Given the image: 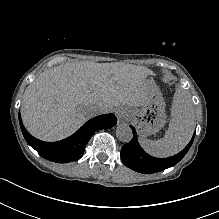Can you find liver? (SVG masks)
Listing matches in <instances>:
<instances>
[{
    "instance_id": "1",
    "label": "liver",
    "mask_w": 219,
    "mask_h": 219,
    "mask_svg": "<svg viewBox=\"0 0 219 219\" xmlns=\"http://www.w3.org/2000/svg\"><path fill=\"white\" fill-rule=\"evenodd\" d=\"M148 75L153 72L124 63L72 62L47 69L24 92L23 124L40 140H62L93 117L91 105L106 112L139 106Z\"/></svg>"
}]
</instances>
